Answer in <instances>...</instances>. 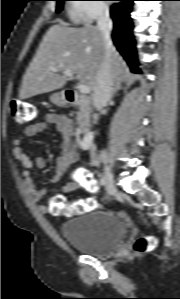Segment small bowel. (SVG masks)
<instances>
[{"mask_svg": "<svg viewBox=\"0 0 180 299\" xmlns=\"http://www.w3.org/2000/svg\"><path fill=\"white\" fill-rule=\"evenodd\" d=\"M50 126H54L59 131L62 147L61 154L56 159V169L51 177V181L57 182L62 175L79 159V150L74 147L73 144L74 124L73 121L67 116L57 113H48L42 121L26 126L22 134L13 139V154L23 169V183L26 193L29 199L34 203H38L40 199L47 193V190L38 189L36 187L32 178L31 170L34 166L43 168L45 167L46 163L41 157H34L31 159L22 148V144L26 138L36 136ZM91 164L92 166H96L98 162L95 158H93ZM82 172L83 169H79L77 173L72 176L70 181L63 186V193H71L83 186L82 177L85 174H82ZM38 209L42 213L49 212V207L43 204L38 205Z\"/></svg>", "mask_w": 180, "mask_h": 299, "instance_id": "c3829d8e", "label": "small bowel"}]
</instances>
